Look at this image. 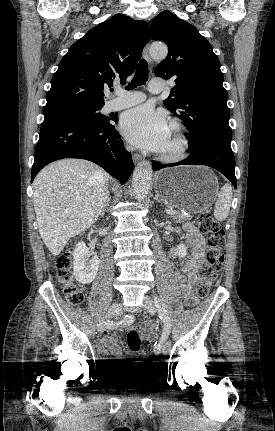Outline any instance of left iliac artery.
<instances>
[{
    "label": "left iliac artery",
    "mask_w": 275,
    "mask_h": 431,
    "mask_svg": "<svg viewBox=\"0 0 275 431\" xmlns=\"http://www.w3.org/2000/svg\"><path fill=\"white\" fill-rule=\"evenodd\" d=\"M155 305L159 314L160 319L164 322V331L158 343L155 344L154 352L160 353L162 350V345L168 338L171 332V321L168 312L158 296H154Z\"/></svg>",
    "instance_id": "1"
}]
</instances>
